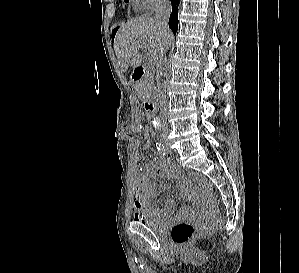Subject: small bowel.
<instances>
[{
    "label": "small bowel",
    "instance_id": "1",
    "mask_svg": "<svg viewBox=\"0 0 299 273\" xmlns=\"http://www.w3.org/2000/svg\"><path fill=\"white\" fill-rule=\"evenodd\" d=\"M147 134L149 131L146 130ZM153 175H159L167 178H174L179 180V189L183 197L187 199L193 198L190 191L187 178L175 166V164L168 158L157 155L153 161L142 171L135 180L136 195L133 202V211L135 220H138L143 214H151L161 219H170L175 210V202L172 199H167L162 208H159L152 203L153 196L157 189L152 184L151 178ZM195 212L189 207H183L178 219H185L193 217Z\"/></svg>",
    "mask_w": 299,
    "mask_h": 273
}]
</instances>
